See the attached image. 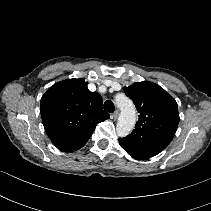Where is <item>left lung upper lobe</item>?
Wrapping results in <instances>:
<instances>
[{"mask_svg": "<svg viewBox=\"0 0 211 211\" xmlns=\"http://www.w3.org/2000/svg\"><path fill=\"white\" fill-rule=\"evenodd\" d=\"M139 112L135 129L120 138V146L133 158L144 160L159 154L175 136L179 113L175 99L152 82L124 87Z\"/></svg>", "mask_w": 211, "mask_h": 211, "instance_id": "5c2ea615", "label": "left lung upper lobe"}]
</instances>
